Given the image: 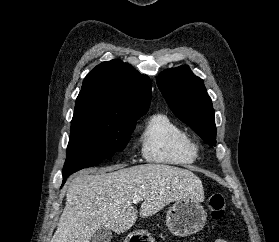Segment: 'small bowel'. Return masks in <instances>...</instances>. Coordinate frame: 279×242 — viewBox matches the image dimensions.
<instances>
[{
    "label": "small bowel",
    "instance_id": "small-bowel-1",
    "mask_svg": "<svg viewBox=\"0 0 279 242\" xmlns=\"http://www.w3.org/2000/svg\"><path fill=\"white\" fill-rule=\"evenodd\" d=\"M214 242H228L225 239H216Z\"/></svg>",
    "mask_w": 279,
    "mask_h": 242
}]
</instances>
